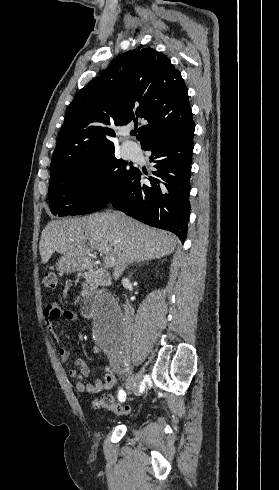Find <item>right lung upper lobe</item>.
<instances>
[{
	"label": "right lung upper lobe",
	"instance_id": "cb5924a9",
	"mask_svg": "<svg viewBox=\"0 0 279 490\" xmlns=\"http://www.w3.org/2000/svg\"><path fill=\"white\" fill-rule=\"evenodd\" d=\"M146 120L141 146L190 124L187 88L170 60L152 48L117 56L105 72L82 88L69 105L51 162V178L114 149L108 125ZM50 178V179H51Z\"/></svg>",
	"mask_w": 279,
	"mask_h": 490
}]
</instances>
